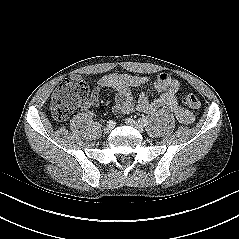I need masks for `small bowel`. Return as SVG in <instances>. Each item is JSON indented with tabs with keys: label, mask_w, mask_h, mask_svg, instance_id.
I'll use <instances>...</instances> for the list:
<instances>
[{
	"label": "small bowel",
	"mask_w": 239,
	"mask_h": 239,
	"mask_svg": "<svg viewBox=\"0 0 239 239\" xmlns=\"http://www.w3.org/2000/svg\"><path fill=\"white\" fill-rule=\"evenodd\" d=\"M144 85L158 93L154 100H150L145 92H141L138 99L134 100L131 90ZM102 87L112 88L116 92L113 111L116 114H126L139 111L147 114L165 108L175 115L179 122L191 124L194 115L183 108L177 99V92L180 88L178 79L169 73H161L155 80L128 74H105L94 82V88L89 99L84 103L85 107L97 106L99 103V92Z\"/></svg>",
	"instance_id": "small-bowel-1"
}]
</instances>
